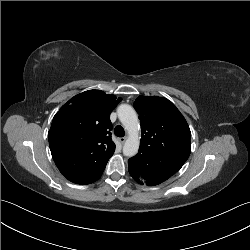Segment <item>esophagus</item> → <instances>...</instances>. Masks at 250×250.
Here are the masks:
<instances>
[{
	"mask_svg": "<svg viewBox=\"0 0 250 250\" xmlns=\"http://www.w3.org/2000/svg\"><path fill=\"white\" fill-rule=\"evenodd\" d=\"M125 141H126V137H121V138H119V142H120L121 144H124Z\"/></svg>",
	"mask_w": 250,
	"mask_h": 250,
	"instance_id": "obj_1",
	"label": "esophagus"
}]
</instances>
